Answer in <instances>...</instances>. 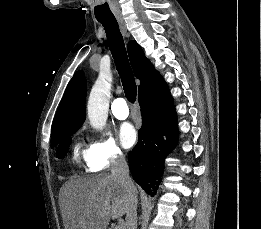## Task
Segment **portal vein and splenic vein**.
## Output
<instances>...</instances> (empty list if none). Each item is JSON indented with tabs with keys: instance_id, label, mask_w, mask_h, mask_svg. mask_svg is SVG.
<instances>
[{
	"instance_id": "1",
	"label": "portal vein and splenic vein",
	"mask_w": 261,
	"mask_h": 229,
	"mask_svg": "<svg viewBox=\"0 0 261 229\" xmlns=\"http://www.w3.org/2000/svg\"><path fill=\"white\" fill-rule=\"evenodd\" d=\"M116 229H123V225H120V227H116Z\"/></svg>"
}]
</instances>
